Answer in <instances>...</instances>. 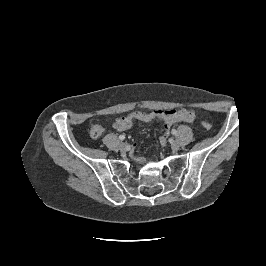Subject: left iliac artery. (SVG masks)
I'll use <instances>...</instances> for the list:
<instances>
[{"label":"left iliac artery","instance_id":"left-iliac-artery-1","mask_svg":"<svg viewBox=\"0 0 266 266\" xmlns=\"http://www.w3.org/2000/svg\"><path fill=\"white\" fill-rule=\"evenodd\" d=\"M171 132H172L173 135H176L177 134V131L175 129H172Z\"/></svg>","mask_w":266,"mask_h":266}]
</instances>
